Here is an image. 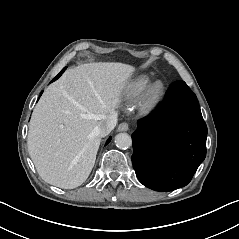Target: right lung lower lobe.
I'll list each match as a JSON object with an SVG mask.
<instances>
[{"mask_svg": "<svg viewBox=\"0 0 239 239\" xmlns=\"http://www.w3.org/2000/svg\"><path fill=\"white\" fill-rule=\"evenodd\" d=\"M65 69H66V67L63 68V70L56 76L55 79H57L59 76H61V74L65 71ZM55 79H54V80H55ZM110 140H111V138H109V139L107 140V144L110 142Z\"/></svg>", "mask_w": 239, "mask_h": 239, "instance_id": "obj_1", "label": "right lung lower lobe"}]
</instances>
